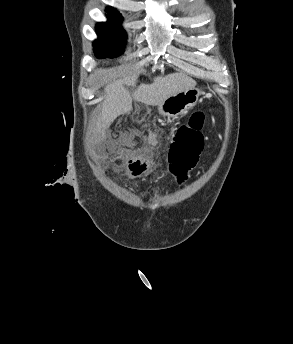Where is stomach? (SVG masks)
<instances>
[{"mask_svg":"<svg viewBox=\"0 0 293 344\" xmlns=\"http://www.w3.org/2000/svg\"><path fill=\"white\" fill-rule=\"evenodd\" d=\"M200 94L201 91L197 88L179 92L161 103L158 111L163 117L179 118L196 105Z\"/></svg>","mask_w":293,"mask_h":344,"instance_id":"1","label":"stomach"}]
</instances>
